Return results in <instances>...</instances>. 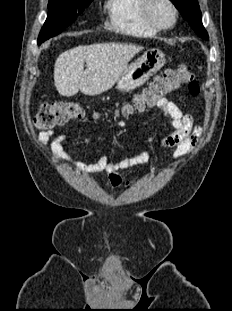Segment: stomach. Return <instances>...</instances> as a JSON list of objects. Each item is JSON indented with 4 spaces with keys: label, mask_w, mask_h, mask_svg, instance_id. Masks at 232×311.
<instances>
[{
    "label": "stomach",
    "mask_w": 232,
    "mask_h": 311,
    "mask_svg": "<svg viewBox=\"0 0 232 311\" xmlns=\"http://www.w3.org/2000/svg\"><path fill=\"white\" fill-rule=\"evenodd\" d=\"M165 63V55L159 49L145 51L134 63L125 68L116 82V88L120 91H130L143 85Z\"/></svg>",
    "instance_id": "obj_1"
}]
</instances>
